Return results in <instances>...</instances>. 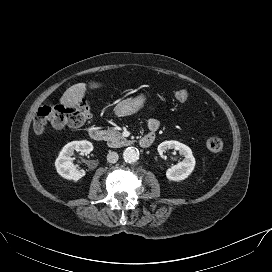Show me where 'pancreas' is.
<instances>
[{"mask_svg": "<svg viewBox=\"0 0 272 272\" xmlns=\"http://www.w3.org/2000/svg\"><path fill=\"white\" fill-rule=\"evenodd\" d=\"M105 140L109 147L119 148L129 143L117 129H109L105 132Z\"/></svg>", "mask_w": 272, "mask_h": 272, "instance_id": "obj_1", "label": "pancreas"}]
</instances>
